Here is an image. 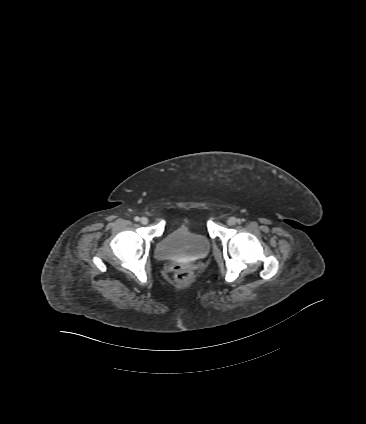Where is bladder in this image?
I'll list each match as a JSON object with an SVG mask.
<instances>
[{
	"label": "bladder",
	"mask_w": 366,
	"mask_h": 424,
	"mask_svg": "<svg viewBox=\"0 0 366 424\" xmlns=\"http://www.w3.org/2000/svg\"><path fill=\"white\" fill-rule=\"evenodd\" d=\"M210 248L211 242L205 234L182 225L166 233L155 251L160 259L193 260L204 257Z\"/></svg>",
	"instance_id": "obj_1"
}]
</instances>
